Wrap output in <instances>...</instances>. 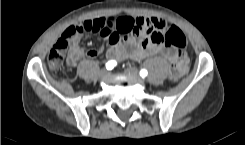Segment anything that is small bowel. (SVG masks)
Returning <instances> with one entry per match:
<instances>
[{"mask_svg": "<svg viewBox=\"0 0 245 145\" xmlns=\"http://www.w3.org/2000/svg\"><path fill=\"white\" fill-rule=\"evenodd\" d=\"M87 22L90 23L89 29L78 32L70 36L67 40L68 54L66 63L70 67H74L78 61L86 56L95 57L102 52V49L79 48V42L86 31L98 33L107 39L108 47L106 49V54L109 59L116 62L127 59L140 61L161 54L171 63H175L178 67V73L173 80H177L184 74L188 67L189 55L186 50L173 51L168 49L165 45H155L146 38L142 42L135 37H142L145 30L148 28L154 31L163 32L168 25L164 20L142 16L123 18L97 17L83 21L78 25H83ZM118 32L124 33L125 37L120 39L117 35Z\"/></svg>", "mask_w": 245, "mask_h": 145, "instance_id": "obj_1", "label": "small bowel"}]
</instances>
